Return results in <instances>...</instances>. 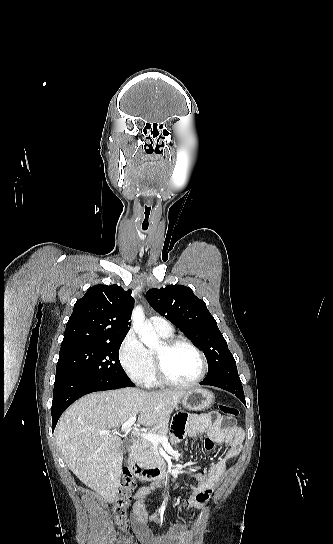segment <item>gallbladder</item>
Wrapping results in <instances>:
<instances>
[{"instance_id": "obj_1", "label": "gallbladder", "mask_w": 333, "mask_h": 544, "mask_svg": "<svg viewBox=\"0 0 333 544\" xmlns=\"http://www.w3.org/2000/svg\"><path fill=\"white\" fill-rule=\"evenodd\" d=\"M130 444L129 442L127 441H122L121 445H120V448H119V451L121 454L123 453H126L128 448H129Z\"/></svg>"}]
</instances>
